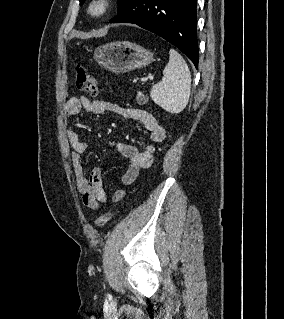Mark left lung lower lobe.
<instances>
[{
  "label": "left lung lower lobe",
  "instance_id": "left-lung-lower-lobe-1",
  "mask_svg": "<svg viewBox=\"0 0 284 319\" xmlns=\"http://www.w3.org/2000/svg\"><path fill=\"white\" fill-rule=\"evenodd\" d=\"M197 0H130L110 23H133L178 47L198 68Z\"/></svg>",
  "mask_w": 284,
  "mask_h": 319
}]
</instances>
